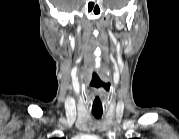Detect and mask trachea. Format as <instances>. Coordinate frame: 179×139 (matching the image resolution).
Wrapping results in <instances>:
<instances>
[{
    "instance_id": "trachea-1",
    "label": "trachea",
    "mask_w": 179,
    "mask_h": 139,
    "mask_svg": "<svg viewBox=\"0 0 179 139\" xmlns=\"http://www.w3.org/2000/svg\"><path fill=\"white\" fill-rule=\"evenodd\" d=\"M92 114L96 119H99L102 116V112H92Z\"/></svg>"
}]
</instances>
